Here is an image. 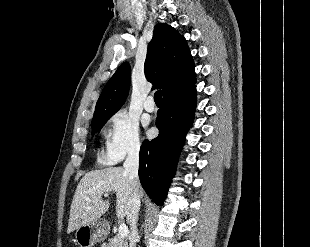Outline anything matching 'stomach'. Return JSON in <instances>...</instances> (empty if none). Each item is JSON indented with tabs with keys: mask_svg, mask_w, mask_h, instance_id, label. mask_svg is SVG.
Wrapping results in <instances>:
<instances>
[{
	"mask_svg": "<svg viewBox=\"0 0 310 247\" xmlns=\"http://www.w3.org/2000/svg\"><path fill=\"white\" fill-rule=\"evenodd\" d=\"M108 231V223L96 219L90 223L79 226L75 233L76 242L80 247H93Z\"/></svg>",
	"mask_w": 310,
	"mask_h": 247,
	"instance_id": "obj_1",
	"label": "stomach"
}]
</instances>
